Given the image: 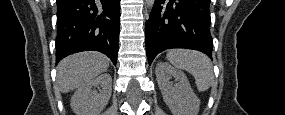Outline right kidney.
I'll return each instance as SVG.
<instances>
[{
	"label": "right kidney",
	"instance_id": "ca27d5eb",
	"mask_svg": "<svg viewBox=\"0 0 285 115\" xmlns=\"http://www.w3.org/2000/svg\"><path fill=\"white\" fill-rule=\"evenodd\" d=\"M93 87L99 89L93 90ZM112 93V77L102 74L83 84L71 98V108L77 115H97L107 105Z\"/></svg>",
	"mask_w": 285,
	"mask_h": 115
}]
</instances>
